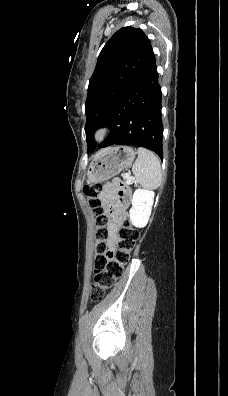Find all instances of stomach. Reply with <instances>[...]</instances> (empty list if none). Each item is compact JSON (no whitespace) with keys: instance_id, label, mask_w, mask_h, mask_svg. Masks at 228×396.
I'll use <instances>...</instances> for the list:
<instances>
[{"instance_id":"stomach-1","label":"stomach","mask_w":228,"mask_h":396,"mask_svg":"<svg viewBox=\"0 0 228 396\" xmlns=\"http://www.w3.org/2000/svg\"><path fill=\"white\" fill-rule=\"evenodd\" d=\"M135 151L129 146L113 147L96 156L87 172L88 181L102 182L132 165Z\"/></svg>"}]
</instances>
